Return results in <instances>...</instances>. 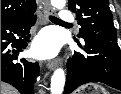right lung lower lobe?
Returning a JSON list of instances; mask_svg holds the SVG:
<instances>
[{
  "mask_svg": "<svg viewBox=\"0 0 121 94\" xmlns=\"http://www.w3.org/2000/svg\"><path fill=\"white\" fill-rule=\"evenodd\" d=\"M35 9L1 21V81L13 85L21 94H33V82L39 71L38 63L18 60L19 52L29 41L30 27L36 22ZM10 43L13 53L7 49Z\"/></svg>",
  "mask_w": 121,
  "mask_h": 94,
  "instance_id": "obj_1",
  "label": "right lung lower lobe"
}]
</instances>
